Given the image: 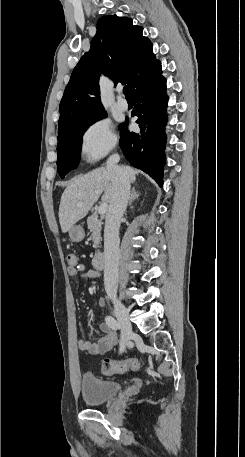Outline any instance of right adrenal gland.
I'll return each mask as SVG.
<instances>
[{
    "label": "right adrenal gland",
    "instance_id": "1",
    "mask_svg": "<svg viewBox=\"0 0 245 457\" xmlns=\"http://www.w3.org/2000/svg\"><path fill=\"white\" fill-rule=\"evenodd\" d=\"M138 196H140V194H138V192H136L135 190V186H133L132 190H131V196L129 198V206H131L132 204V200H135V198H138Z\"/></svg>",
    "mask_w": 245,
    "mask_h": 457
}]
</instances>
